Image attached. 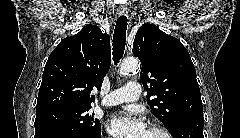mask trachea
<instances>
[{"instance_id":"trachea-1","label":"trachea","mask_w":240,"mask_h":138,"mask_svg":"<svg viewBox=\"0 0 240 138\" xmlns=\"http://www.w3.org/2000/svg\"><path fill=\"white\" fill-rule=\"evenodd\" d=\"M127 18L121 15L115 25L113 34V61L119 63L122 58L126 45Z\"/></svg>"}]
</instances>
